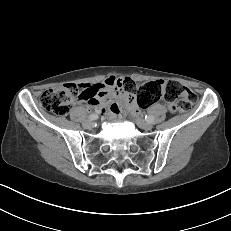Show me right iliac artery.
I'll return each instance as SVG.
<instances>
[{
    "label": "right iliac artery",
    "instance_id": "right-iliac-artery-1",
    "mask_svg": "<svg viewBox=\"0 0 231 231\" xmlns=\"http://www.w3.org/2000/svg\"><path fill=\"white\" fill-rule=\"evenodd\" d=\"M98 118V115L97 114H91L90 116H89V119H91V120H96Z\"/></svg>",
    "mask_w": 231,
    "mask_h": 231
}]
</instances>
